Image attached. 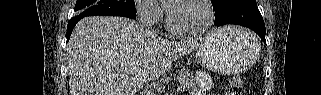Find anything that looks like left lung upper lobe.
<instances>
[{
  "label": "left lung upper lobe",
  "instance_id": "1",
  "mask_svg": "<svg viewBox=\"0 0 321 95\" xmlns=\"http://www.w3.org/2000/svg\"><path fill=\"white\" fill-rule=\"evenodd\" d=\"M211 2H212V5H213V8L216 9L217 7H219L224 2V0H211Z\"/></svg>",
  "mask_w": 321,
  "mask_h": 95
}]
</instances>
